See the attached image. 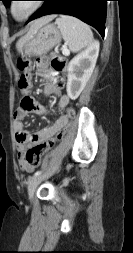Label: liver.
I'll return each mask as SVG.
<instances>
[{
	"instance_id": "1",
	"label": "liver",
	"mask_w": 133,
	"mask_h": 253,
	"mask_svg": "<svg viewBox=\"0 0 133 253\" xmlns=\"http://www.w3.org/2000/svg\"><path fill=\"white\" fill-rule=\"evenodd\" d=\"M56 17V15H47L44 16L40 19L35 20L31 26L29 31L27 32V34L23 37H21L17 44L16 47L17 49H20V47L23 45V43L30 38L31 36H33L42 26L46 25L47 23H49L50 21H52L54 18Z\"/></svg>"
}]
</instances>
